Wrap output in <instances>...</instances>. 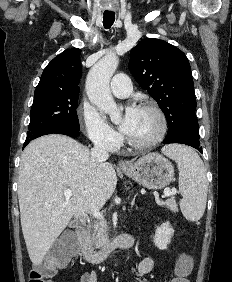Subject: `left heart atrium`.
<instances>
[{"mask_svg":"<svg viewBox=\"0 0 232 282\" xmlns=\"http://www.w3.org/2000/svg\"><path fill=\"white\" fill-rule=\"evenodd\" d=\"M139 115V108L135 105H129L124 112L123 119L120 124V130L124 134H129L133 129Z\"/></svg>","mask_w":232,"mask_h":282,"instance_id":"39dd6f15","label":"left heart atrium"}]
</instances>
